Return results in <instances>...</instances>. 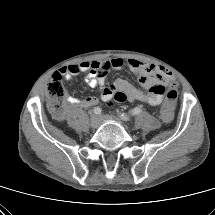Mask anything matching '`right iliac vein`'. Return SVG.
I'll use <instances>...</instances> for the list:
<instances>
[{
	"label": "right iliac vein",
	"mask_w": 215,
	"mask_h": 215,
	"mask_svg": "<svg viewBox=\"0 0 215 215\" xmlns=\"http://www.w3.org/2000/svg\"><path fill=\"white\" fill-rule=\"evenodd\" d=\"M90 125L92 128H97L100 125V118L96 115H92L90 119Z\"/></svg>",
	"instance_id": "right-iliac-vein-1"
}]
</instances>
